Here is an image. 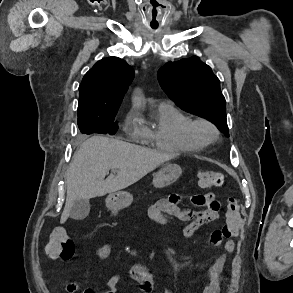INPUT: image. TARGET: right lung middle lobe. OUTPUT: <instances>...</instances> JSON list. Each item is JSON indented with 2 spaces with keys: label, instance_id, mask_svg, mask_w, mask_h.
Returning a JSON list of instances; mask_svg holds the SVG:
<instances>
[{
  "label": "right lung middle lobe",
  "instance_id": "dd1d6c3e",
  "mask_svg": "<svg viewBox=\"0 0 293 293\" xmlns=\"http://www.w3.org/2000/svg\"><path fill=\"white\" fill-rule=\"evenodd\" d=\"M116 113L117 112L106 115L78 113V127L84 134H114L118 130V123L114 121Z\"/></svg>",
  "mask_w": 293,
  "mask_h": 293
}]
</instances>
